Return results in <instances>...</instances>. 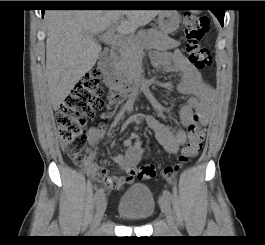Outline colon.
I'll return each instance as SVG.
<instances>
[{
	"label": "colon",
	"mask_w": 265,
	"mask_h": 245,
	"mask_svg": "<svg viewBox=\"0 0 265 245\" xmlns=\"http://www.w3.org/2000/svg\"><path fill=\"white\" fill-rule=\"evenodd\" d=\"M187 41L186 53L189 61L196 68L204 70L212 64V56L208 49L200 45L208 31L205 17L186 16L183 22ZM101 71L93 68L64 99L56 112V124L61 145L66 149L69 157L76 163L84 161L83 150L87 141V120L94 117L98 111H110L115 106L113 96L105 92L100 85ZM136 128L140 125V118L135 121ZM205 136V125L197 118L188 131V139L181 149L178 161L173 166L164 167L160 175L171 185L174 177L182 167L202 151ZM158 174L154 164H145L137 170L139 179H153Z\"/></svg>",
	"instance_id": "colon-1"
}]
</instances>
